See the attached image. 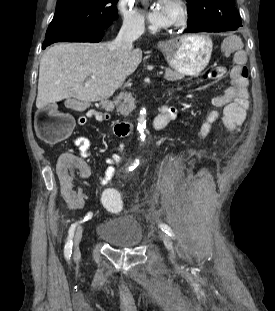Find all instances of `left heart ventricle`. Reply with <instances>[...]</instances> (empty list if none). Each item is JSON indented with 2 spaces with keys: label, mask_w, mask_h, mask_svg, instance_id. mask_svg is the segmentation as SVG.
Returning a JSON list of instances; mask_svg holds the SVG:
<instances>
[{
  "label": "left heart ventricle",
  "mask_w": 275,
  "mask_h": 311,
  "mask_svg": "<svg viewBox=\"0 0 275 311\" xmlns=\"http://www.w3.org/2000/svg\"><path fill=\"white\" fill-rule=\"evenodd\" d=\"M178 17V10L175 4L171 1L169 6V23H173Z\"/></svg>",
  "instance_id": "left-heart-ventricle-1"
}]
</instances>
